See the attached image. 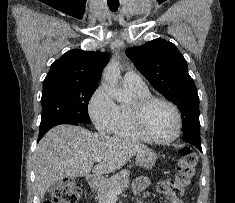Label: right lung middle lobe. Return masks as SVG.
<instances>
[{
	"instance_id": "obj_1",
	"label": "right lung middle lobe",
	"mask_w": 235,
	"mask_h": 203,
	"mask_svg": "<svg viewBox=\"0 0 235 203\" xmlns=\"http://www.w3.org/2000/svg\"><path fill=\"white\" fill-rule=\"evenodd\" d=\"M97 86L70 83L43 87L40 128L59 122L89 123L88 103Z\"/></svg>"
}]
</instances>
